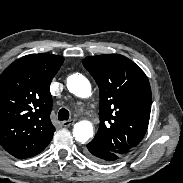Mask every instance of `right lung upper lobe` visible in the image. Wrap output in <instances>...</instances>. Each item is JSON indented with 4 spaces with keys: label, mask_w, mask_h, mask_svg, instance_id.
<instances>
[{
    "label": "right lung upper lobe",
    "mask_w": 183,
    "mask_h": 183,
    "mask_svg": "<svg viewBox=\"0 0 183 183\" xmlns=\"http://www.w3.org/2000/svg\"><path fill=\"white\" fill-rule=\"evenodd\" d=\"M63 61L57 55L30 54L0 76V144L16 158L39 154L53 138L50 83Z\"/></svg>",
    "instance_id": "obj_1"
}]
</instances>
